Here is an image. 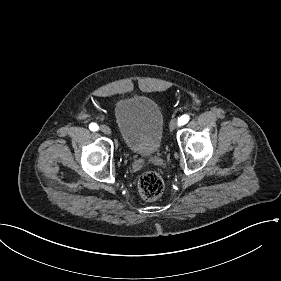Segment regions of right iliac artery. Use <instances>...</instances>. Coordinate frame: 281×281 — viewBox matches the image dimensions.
Returning <instances> with one entry per match:
<instances>
[{"instance_id": "obj_1", "label": "right iliac artery", "mask_w": 281, "mask_h": 281, "mask_svg": "<svg viewBox=\"0 0 281 281\" xmlns=\"http://www.w3.org/2000/svg\"><path fill=\"white\" fill-rule=\"evenodd\" d=\"M89 128H90L91 131H97L99 127L96 123H91L89 125Z\"/></svg>"}]
</instances>
